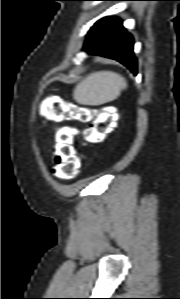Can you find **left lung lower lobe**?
I'll list each match as a JSON object with an SVG mask.
<instances>
[{"label":"left lung lower lobe","instance_id":"obj_1","mask_svg":"<svg viewBox=\"0 0 180 299\" xmlns=\"http://www.w3.org/2000/svg\"><path fill=\"white\" fill-rule=\"evenodd\" d=\"M134 40L117 17L98 20L88 32L83 50L90 54L115 59L136 75L137 60L133 52Z\"/></svg>","mask_w":180,"mask_h":299}]
</instances>
